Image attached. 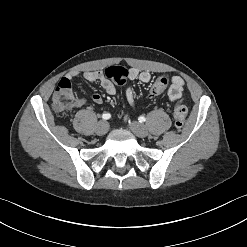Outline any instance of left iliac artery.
I'll use <instances>...</instances> for the list:
<instances>
[{"label":"left iliac artery","mask_w":247,"mask_h":247,"mask_svg":"<svg viewBox=\"0 0 247 247\" xmlns=\"http://www.w3.org/2000/svg\"><path fill=\"white\" fill-rule=\"evenodd\" d=\"M139 122H145L146 121V118L144 116H140L138 118Z\"/></svg>","instance_id":"1"}]
</instances>
